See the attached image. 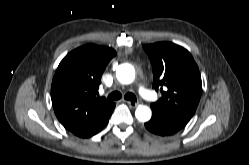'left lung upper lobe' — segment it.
<instances>
[{
    "instance_id": "5c2ea615",
    "label": "left lung upper lobe",
    "mask_w": 249,
    "mask_h": 165,
    "mask_svg": "<svg viewBox=\"0 0 249 165\" xmlns=\"http://www.w3.org/2000/svg\"><path fill=\"white\" fill-rule=\"evenodd\" d=\"M143 48L152 64L153 88L162 93L160 100L152 104L191 119L202 92L201 75L191 54L171 42Z\"/></svg>"
}]
</instances>
